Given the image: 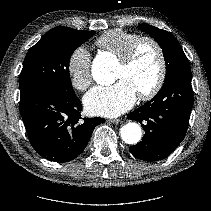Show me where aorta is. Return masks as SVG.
<instances>
[{
	"label": "aorta",
	"instance_id": "762f6f07",
	"mask_svg": "<svg viewBox=\"0 0 211 211\" xmlns=\"http://www.w3.org/2000/svg\"><path fill=\"white\" fill-rule=\"evenodd\" d=\"M92 75L94 80L101 85H110L114 82V75L109 65L100 63L99 60L94 61L92 67ZM121 137L127 144H137L142 136V131L137 123L129 122L125 124L121 130Z\"/></svg>",
	"mask_w": 211,
	"mask_h": 211
}]
</instances>
